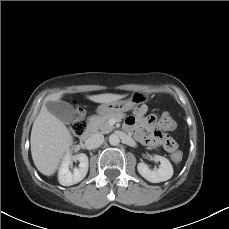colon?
<instances>
[{
  "label": "colon",
  "instance_id": "colon-1",
  "mask_svg": "<svg viewBox=\"0 0 229 229\" xmlns=\"http://www.w3.org/2000/svg\"><path fill=\"white\" fill-rule=\"evenodd\" d=\"M173 127L171 119L166 117L162 118L156 137L159 139L163 148L171 153L173 161L180 162L182 160V154L177 151L178 145L175 140L166 133ZM70 129L76 136L82 135L86 131L85 113L81 108L76 110Z\"/></svg>",
  "mask_w": 229,
  "mask_h": 229
}]
</instances>
